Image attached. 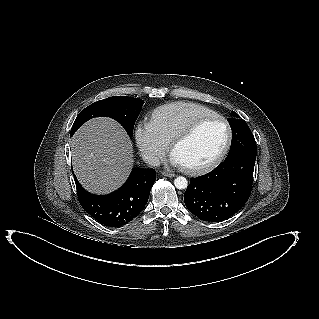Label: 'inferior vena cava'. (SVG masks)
<instances>
[{
	"label": "inferior vena cava",
	"mask_w": 319,
	"mask_h": 319,
	"mask_svg": "<svg viewBox=\"0 0 319 319\" xmlns=\"http://www.w3.org/2000/svg\"><path fill=\"white\" fill-rule=\"evenodd\" d=\"M142 158H143V161L148 164V165H151V166H159L160 165V160L158 157H156L155 155L153 154H148V153H145L142 155Z\"/></svg>",
	"instance_id": "1"
}]
</instances>
